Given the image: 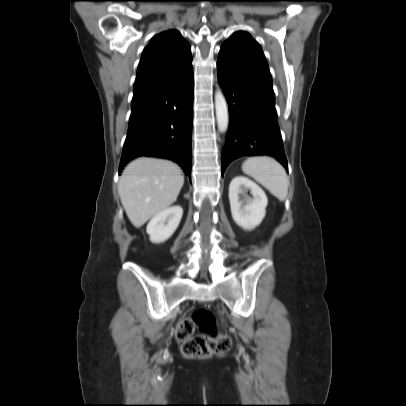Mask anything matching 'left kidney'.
<instances>
[{
  "label": "left kidney",
  "instance_id": "1",
  "mask_svg": "<svg viewBox=\"0 0 406 406\" xmlns=\"http://www.w3.org/2000/svg\"><path fill=\"white\" fill-rule=\"evenodd\" d=\"M248 191L252 197L248 196ZM229 201L233 220L245 230L254 229L265 217L267 196L247 177L236 176L232 179L229 185Z\"/></svg>",
  "mask_w": 406,
  "mask_h": 406
}]
</instances>
